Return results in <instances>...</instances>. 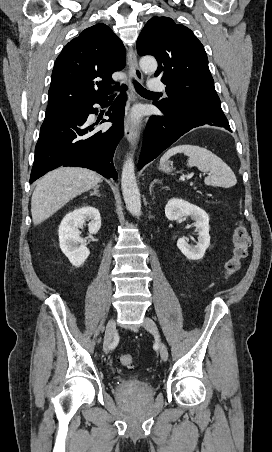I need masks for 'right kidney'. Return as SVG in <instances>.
Masks as SVG:
<instances>
[{"instance_id":"obj_1","label":"right kidney","mask_w":272,"mask_h":452,"mask_svg":"<svg viewBox=\"0 0 272 452\" xmlns=\"http://www.w3.org/2000/svg\"><path fill=\"white\" fill-rule=\"evenodd\" d=\"M89 222V234L98 233L101 227V217L98 209L84 206L68 213L59 225V243L62 252L76 267L81 266L88 258L90 251L86 240L80 237L78 228Z\"/></svg>"}]
</instances>
